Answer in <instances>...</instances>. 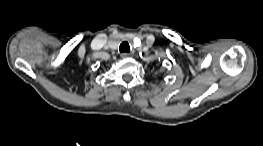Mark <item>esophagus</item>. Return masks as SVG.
I'll list each match as a JSON object with an SVG mask.
<instances>
[{
	"instance_id": "1",
	"label": "esophagus",
	"mask_w": 263,
	"mask_h": 146,
	"mask_svg": "<svg viewBox=\"0 0 263 146\" xmlns=\"http://www.w3.org/2000/svg\"><path fill=\"white\" fill-rule=\"evenodd\" d=\"M129 56H130L129 53H126V52L121 53V57H122V58H127V57H129Z\"/></svg>"
}]
</instances>
